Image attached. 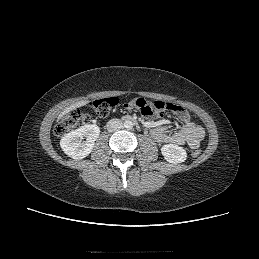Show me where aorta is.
<instances>
[{
	"mask_svg": "<svg viewBox=\"0 0 259 259\" xmlns=\"http://www.w3.org/2000/svg\"><path fill=\"white\" fill-rule=\"evenodd\" d=\"M124 127L126 128V129H132L133 128V123L131 122V121H125L124 122Z\"/></svg>",
	"mask_w": 259,
	"mask_h": 259,
	"instance_id": "aorta-1",
	"label": "aorta"
}]
</instances>
